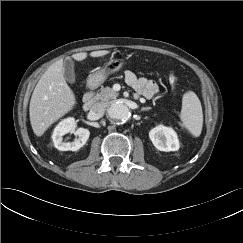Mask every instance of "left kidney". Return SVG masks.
<instances>
[{
	"instance_id": "obj_1",
	"label": "left kidney",
	"mask_w": 243,
	"mask_h": 243,
	"mask_svg": "<svg viewBox=\"0 0 243 243\" xmlns=\"http://www.w3.org/2000/svg\"><path fill=\"white\" fill-rule=\"evenodd\" d=\"M153 145L160 151H177L179 140L176 132L169 127L158 125L149 132Z\"/></svg>"
}]
</instances>
